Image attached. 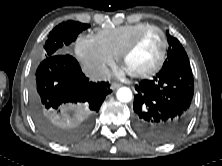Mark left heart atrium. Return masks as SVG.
I'll list each match as a JSON object with an SVG mask.
<instances>
[{"label": "left heart atrium", "instance_id": "39dd6f15", "mask_svg": "<svg viewBox=\"0 0 222 166\" xmlns=\"http://www.w3.org/2000/svg\"><path fill=\"white\" fill-rule=\"evenodd\" d=\"M121 72L123 73V72H127V71L125 69H122Z\"/></svg>", "mask_w": 222, "mask_h": 166}]
</instances>
